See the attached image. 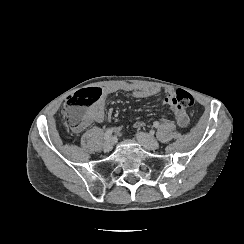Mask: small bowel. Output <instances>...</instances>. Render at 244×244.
<instances>
[{"mask_svg": "<svg viewBox=\"0 0 244 244\" xmlns=\"http://www.w3.org/2000/svg\"><path fill=\"white\" fill-rule=\"evenodd\" d=\"M96 89L101 92V97L96 103L88 107L86 110L90 116V125L92 123H101L105 120L104 102L116 92H126L131 94L133 97L145 99L157 94L160 91V89L157 87H139L127 83H112ZM165 93L166 96L163 99V104L171 107L176 124L181 128L186 127L189 123V115L187 111L172 103L173 90L171 88H166ZM137 126L143 127L144 123L139 121L137 122Z\"/></svg>", "mask_w": 244, "mask_h": 244, "instance_id": "c3829d8e", "label": "small bowel"}]
</instances>
